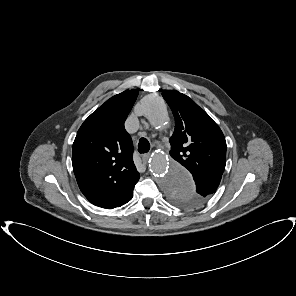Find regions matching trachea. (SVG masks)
Masks as SVG:
<instances>
[{"label": "trachea", "instance_id": "3493384b", "mask_svg": "<svg viewBox=\"0 0 296 296\" xmlns=\"http://www.w3.org/2000/svg\"><path fill=\"white\" fill-rule=\"evenodd\" d=\"M150 149V143L146 138H140L138 143L139 153H147Z\"/></svg>", "mask_w": 296, "mask_h": 296}]
</instances>
